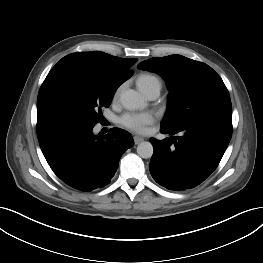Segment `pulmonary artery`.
I'll use <instances>...</instances> for the list:
<instances>
[{
  "label": "pulmonary artery",
  "instance_id": "pulmonary-artery-1",
  "mask_svg": "<svg viewBox=\"0 0 263 263\" xmlns=\"http://www.w3.org/2000/svg\"><path fill=\"white\" fill-rule=\"evenodd\" d=\"M140 91L150 100H155L161 92V83L159 80L151 81L143 85H138Z\"/></svg>",
  "mask_w": 263,
  "mask_h": 263
}]
</instances>
